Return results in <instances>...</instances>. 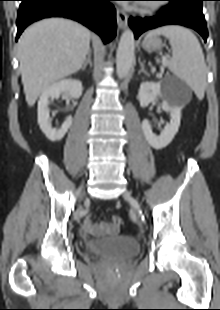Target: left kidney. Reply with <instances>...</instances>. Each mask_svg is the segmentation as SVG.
<instances>
[{
    "label": "left kidney",
    "mask_w": 220,
    "mask_h": 310,
    "mask_svg": "<svg viewBox=\"0 0 220 310\" xmlns=\"http://www.w3.org/2000/svg\"><path fill=\"white\" fill-rule=\"evenodd\" d=\"M158 97L163 99L161 107L164 111L170 113V123L166 125L162 133L157 136L152 132L151 125L148 120H143L142 130L146 140L154 149L165 148L173 140L178 132L181 119L182 105L177 103L175 97L168 90H163L160 83L143 82L140 85L138 99L141 107L148 106Z\"/></svg>",
    "instance_id": "left-kidney-1"
}]
</instances>
